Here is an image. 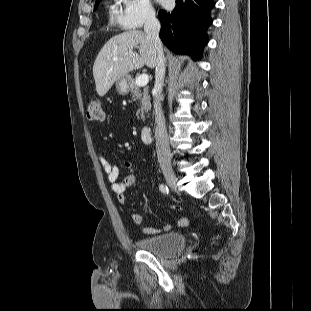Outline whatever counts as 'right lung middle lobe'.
I'll list each match as a JSON object with an SVG mask.
<instances>
[{"instance_id": "1", "label": "right lung middle lobe", "mask_w": 311, "mask_h": 311, "mask_svg": "<svg viewBox=\"0 0 311 311\" xmlns=\"http://www.w3.org/2000/svg\"><path fill=\"white\" fill-rule=\"evenodd\" d=\"M100 1H101V0L96 1V3H95V7H94V10L98 7V5H99Z\"/></svg>"}]
</instances>
